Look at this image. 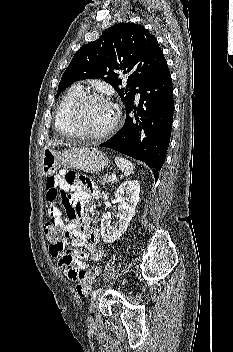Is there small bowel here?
Instances as JSON below:
<instances>
[{"instance_id":"c3829d8e","label":"small bowel","mask_w":233,"mask_h":352,"mask_svg":"<svg viewBox=\"0 0 233 352\" xmlns=\"http://www.w3.org/2000/svg\"><path fill=\"white\" fill-rule=\"evenodd\" d=\"M98 195L97 187L90 180L71 170H62L46 181L48 222L61 228L66 235V244L73 247L65 251V246L52 244L49 250L72 281L77 280V274L86 268L89 259L97 261L103 256L99 230L97 227L90 228L89 218L84 212L90 198ZM58 196L66 210L64 215L55 205ZM78 247H85L86 251L76 249Z\"/></svg>"}]
</instances>
